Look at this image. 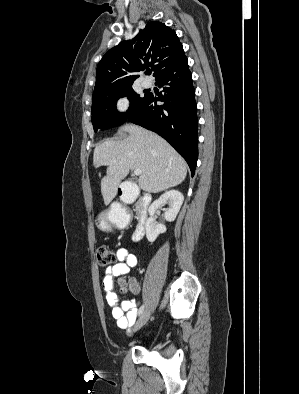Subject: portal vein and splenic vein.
Segmentation results:
<instances>
[{
    "label": "portal vein and splenic vein",
    "instance_id": "portal-vein-and-splenic-vein-1",
    "mask_svg": "<svg viewBox=\"0 0 299 394\" xmlns=\"http://www.w3.org/2000/svg\"><path fill=\"white\" fill-rule=\"evenodd\" d=\"M134 174L135 175H141L142 174V170L141 169H135L134 170Z\"/></svg>",
    "mask_w": 299,
    "mask_h": 394
}]
</instances>
